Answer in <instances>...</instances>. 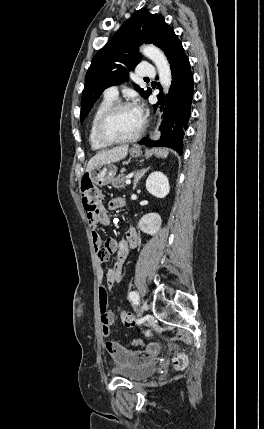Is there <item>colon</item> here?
<instances>
[{
	"mask_svg": "<svg viewBox=\"0 0 264 429\" xmlns=\"http://www.w3.org/2000/svg\"><path fill=\"white\" fill-rule=\"evenodd\" d=\"M81 195L84 209L89 216H93L98 213L104 203V195L102 191L94 186L90 181L85 180L81 184ZM119 317L121 323L126 327H135L136 319L133 314L128 311L120 310ZM134 345H143L142 341L136 340L133 342ZM173 364L175 368L182 370L188 364V358L184 353H179L173 358Z\"/></svg>",
	"mask_w": 264,
	"mask_h": 429,
	"instance_id": "obj_1",
	"label": "colon"
}]
</instances>
